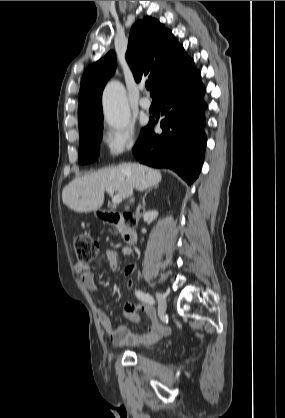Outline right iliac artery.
I'll list each match as a JSON object with an SVG mask.
<instances>
[{
  "instance_id": "right-iliac-artery-1",
  "label": "right iliac artery",
  "mask_w": 285,
  "mask_h": 418,
  "mask_svg": "<svg viewBox=\"0 0 285 418\" xmlns=\"http://www.w3.org/2000/svg\"><path fill=\"white\" fill-rule=\"evenodd\" d=\"M135 295L138 299H140L141 301H143L145 303L155 304V301H154L153 297L150 296L149 294H146V293H144L140 290H136Z\"/></svg>"
}]
</instances>
